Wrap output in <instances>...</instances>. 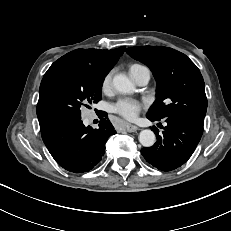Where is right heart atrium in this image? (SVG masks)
Segmentation results:
<instances>
[{
  "label": "right heart atrium",
  "instance_id": "1",
  "mask_svg": "<svg viewBox=\"0 0 231 231\" xmlns=\"http://www.w3.org/2000/svg\"><path fill=\"white\" fill-rule=\"evenodd\" d=\"M112 76H113V72L110 71L104 76V78L102 80L101 88H102V91L105 93H107L111 90Z\"/></svg>",
  "mask_w": 231,
  "mask_h": 231
}]
</instances>
